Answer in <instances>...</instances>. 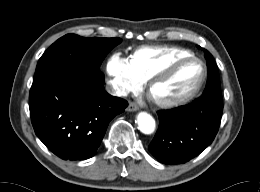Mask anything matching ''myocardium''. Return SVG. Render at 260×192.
<instances>
[{"label":"myocardium","instance_id":"myocardium-1","mask_svg":"<svg viewBox=\"0 0 260 192\" xmlns=\"http://www.w3.org/2000/svg\"><path fill=\"white\" fill-rule=\"evenodd\" d=\"M188 63H195L200 66L199 78L191 89H189L187 92H185L184 94H182L180 96L170 98V99H159L153 95L152 90L157 83H159L160 81L169 77L180 66L188 64ZM205 78H206V69H205L203 62L194 57H186V58H182V59L174 61L173 63H171L164 69H162L161 71H159L156 74H154L153 76H151L149 78V81L147 84V92H148L149 96L152 98V100L157 105L163 106V107H168V106H172L175 104H179V103L184 102V101L190 99L191 97H193L201 88Z\"/></svg>","mask_w":260,"mask_h":192}]
</instances>
